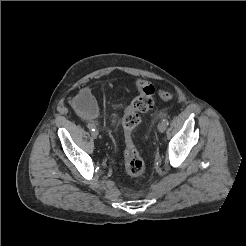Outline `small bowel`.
I'll list each match as a JSON object with an SVG mask.
<instances>
[{"mask_svg":"<svg viewBox=\"0 0 246 246\" xmlns=\"http://www.w3.org/2000/svg\"><path fill=\"white\" fill-rule=\"evenodd\" d=\"M73 106L78 115L86 121H92L99 115L98 106L88 89L78 94L73 101Z\"/></svg>","mask_w":246,"mask_h":246,"instance_id":"1","label":"small bowel"}]
</instances>
